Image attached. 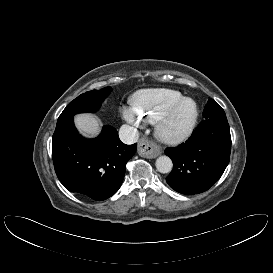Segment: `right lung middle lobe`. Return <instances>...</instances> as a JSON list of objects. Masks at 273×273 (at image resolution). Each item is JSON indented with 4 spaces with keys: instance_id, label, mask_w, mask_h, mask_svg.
I'll return each instance as SVG.
<instances>
[{
    "instance_id": "1",
    "label": "right lung middle lobe",
    "mask_w": 273,
    "mask_h": 273,
    "mask_svg": "<svg viewBox=\"0 0 273 273\" xmlns=\"http://www.w3.org/2000/svg\"><path fill=\"white\" fill-rule=\"evenodd\" d=\"M110 92L111 88L105 87L101 90H92L81 94L66 106L59 116L57 123L73 118L78 113L95 112Z\"/></svg>"
}]
</instances>
